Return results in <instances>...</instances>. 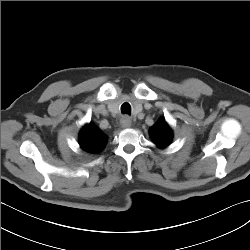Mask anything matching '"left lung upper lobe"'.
I'll use <instances>...</instances> for the list:
<instances>
[{"label": "left lung upper lobe", "mask_w": 250, "mask_h": 250, "mask_svg": "<svg viewBox=\"0 0 250 250\" xmlns=\"http://www.w3.org/2000/svg\"><path fill=\"white\" fill-rule=\"evenodd\" d=\"M150 136L154 143L161 148L168 146L173 137L172 131L165 119H161L158 123L151 127Z\"/></svg>", "instance_id": "1"}]
</instances>
